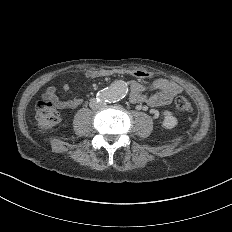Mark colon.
Masks as SVG:
<instances>
[{
	"mask_svg": "<svg viewBox=\"0 0 232 232\" xmlns=\"http://www.w3.org/2000/svg\"><path fill=\"white\" fill-rule=\"evenodd\" d=\"M48 101H55V96H42L37 105L39 120L32 121L33 125H39V137H44L46 129H58L60 112L57 108H48ZM173 106L185 114H192L194 103L190 102L189 94H176Z\"/></svg>",
	"mask_w": 232,
	"mask_h": 232,
	"instance_id": "1",
	"label": "colon"
}]
</instances>
